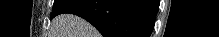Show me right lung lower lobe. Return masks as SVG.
Instances as JSON below:
<instances>
[{
    "instance_id": "right-lung-lower-lobe-1",
    "label": "right lung lower lobe",
    "mask_w": 219,
    "mask_h": 37,
    "mask_svg": "<svg viewBox=\"0 0 219 37\" xmlns=\"http://www.w3.org/2000/svg\"><path fill=\"white\" fill-rule=\"evenodd\" d=\"M158 7V0H72L57 15H78L104 37H149Z\"/></svg>"
}]
</instances>
